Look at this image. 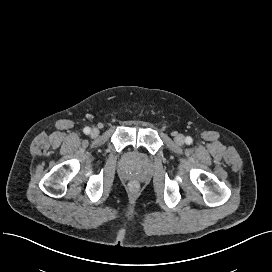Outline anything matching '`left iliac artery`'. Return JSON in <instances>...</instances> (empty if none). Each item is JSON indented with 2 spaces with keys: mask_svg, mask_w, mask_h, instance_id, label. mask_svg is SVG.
<instances>
[{
  "mask_svg": "<svg viewBox=\"0 0 272 272\" xmlns=\"http://www.w3.org/2000/svg\"><path fill=\"white\" fill-rule=\"evenodd\" d=\"M185 142H186V144L190 145V144H192L193 139L190 136H188V137H186Z\"/></svg>",
  "mask_w": 272,
  "mask_h": 272,
  "instance_id": "left-iliac-artery-1",
  "label": "left iliac artery"
}]
</instances>
